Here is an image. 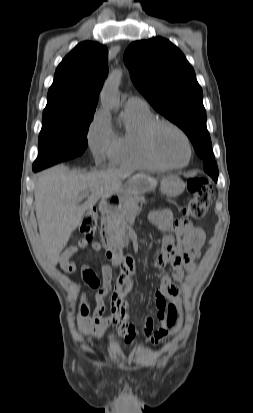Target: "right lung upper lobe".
I'll use <instances>...</instances> for the list:
<instances>
[{
  "label": "right lung upper lobe",
  "mask_w": 253,
  "mask_h": 413,
  "mask_svg": "<svg viewBox=\"0 0 253 413\" xmlns=\"http://www.w3.org/2000/svg\"><path fill=\"white\" fill-rule=\"evenodd\" d=\"M107 55L99 43L78 44L56 69L43 115L94 114L108 74Z\"/></svg>",
  "instance_id": "obj_1"
}]
</instances>
